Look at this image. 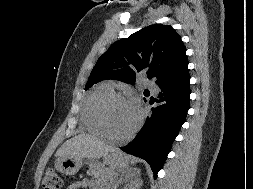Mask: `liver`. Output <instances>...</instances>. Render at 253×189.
Returning a JSON list of instances; mask_svg holds the SVG:
<instances>
[{
    "label": "liver",
    "mask_w": 253,
    "mask_h": 189,
    "mask_svg": "<svg viewBox=\"0 0 253 189\" xmlns=\"http://www.w3.org/2000/svg\"><path fill=\"white\" fill-rule=\"evenodd\" d=\"M115 150L90 134H80L67 140L56 152L57 157L99 159Z\"/></svg>",
    "instance_id": "1"
}]
</instances>
